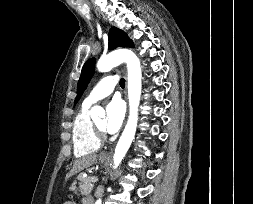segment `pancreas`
I'll return each instance as SVG.
<instances>
[{"instance_id": "cf45deb5", "label": "pancreas", "mask_w": 253, "mask_h": 204, "mask_svg": "<svg viewBox=\"0 0 253 204\" xmlns=\"http://www.w3.org/2000/svg\"><path fill=\"white\" fill-rule=\"evenodd\" d=\"M80 180V190L83 195H87L88 193L91 192L93 189L94 185L93 182L90 180V177L84 178V177H79Z\"/></svg>"}]
</instances>
